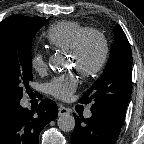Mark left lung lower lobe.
<instances>
[{
  "label": "left lung lower lobe",
  "instance_id": "1",
  "mask_svg": "<svg viewBox=\"0 0 144 144\" xmlns=\"http://www.w3.org/2000/svg\"><path fill=\"white\" fill-rule=\"evenodd\" d=\"M88 119L75 117L71 144H115L124 119L100 108H91Z\"/></svg>",
  "mask_w": 144,
  "mask_h": 144
}]
</instances>
